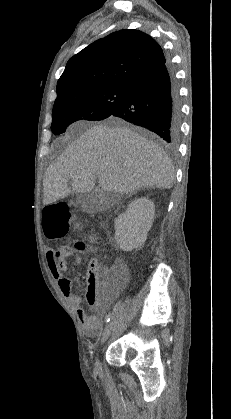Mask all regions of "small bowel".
<instances>
[{
  "label": "small bowel",
  "instance_id": "c3829d8e",
  "mask_svg": "<svg viewBox=\"0 0 231 419\" xmlns=\"http://www.w3.org/2000/svg\"><path fill=\"white\" fill-rule=\"evenodd\" d=\"M72 255L70 247L64 246L58 250L49 248L46 251V259L48 268L52 277L57 281L60 291L67 299L69 304L76 312L77 318L80 321L83 332L87 337H96L102 329V321L97 316H89L82 307L81 299L72 292V282L65 275L67 271V258ZM77 264L82 263L80 256L76 257ZM89 277V276H88ZM126 280L125 273L117 280L118 285H122ZM86 299L91 307L98 304V285L95 288L87 285Z\"/></svg>",
  "mask_w": 231,
  "mask_h": 419
}]
</instances>
